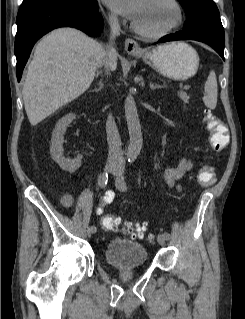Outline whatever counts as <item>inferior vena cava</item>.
Returning <instances> with one entry per match:
<instances>
[{"instance_id": "obj_1", "label": "inferior vena cava", "mask_w": 245, "mask_h": 319, "mask_svg": "<svg viewBox=\"0 0 245 319\" xmlns=\"http://www.w3.org/2000/svg\"><path fill=\"white\" fill-rule=\"evenodd\" d=\"M108 23L110 25V38L108 43L104 47L105 56L103 63L100 66H104L105 72L108 74V60H114L117 58V51L114 47V40L120 34V25L116 15H109ZM99 74V72H98ZM106 133H107V142L109 146L108 160L110 162H118L123 164L124 157L122 151V143L120 135L115 123L114 118L111 114L108 115L106 122Z\"/></svg>"}]
</instances>
